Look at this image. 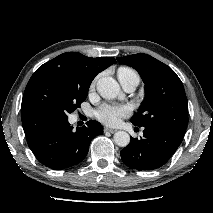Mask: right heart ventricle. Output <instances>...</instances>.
<instances>
[{"label": "right heart ventricle", "mask_w": 213, "mask_h": 213, "mask_svg": "<svg viewBox=\"0 0 213 213\" xmlns=\"http://www.w3.org/2000/svg\"><path fill=\"white\" fill-rule=\"evenodd\" d=\"M129 75L137 76V74L132 69H130L128 67H120L119 68L118 77L129 76Z\"/></svg>", "instance_id": "1"}]
</instances>
